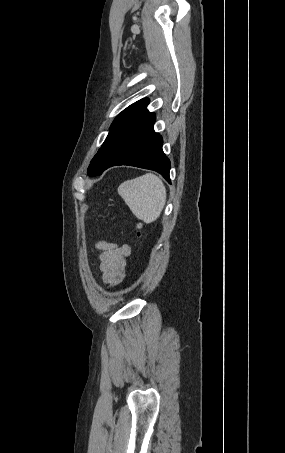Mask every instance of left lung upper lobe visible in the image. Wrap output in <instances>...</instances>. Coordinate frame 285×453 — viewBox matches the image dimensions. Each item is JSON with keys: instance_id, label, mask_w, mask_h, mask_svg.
<instances>
[{"instance_id": "left-lung-upper-lobe-1", "label": "left lung upper lobe", "mask_w": 285, "mask_h": 453, "mask_svg": "<svg viewBox=\"0 0 285 453\" xmlns=\"http://www.w3.org/2000/svg\"><path fill=\"white\" fill-rule=\"evenodd\" d=\"M148 104L149 99H141L127 107L115 118L111 125L109 134L102 144V147L91 161L88 168L89 176L93 177L99 174L121 135L134 122V120L146 110Z\"/></svg>"}]
</instances>
